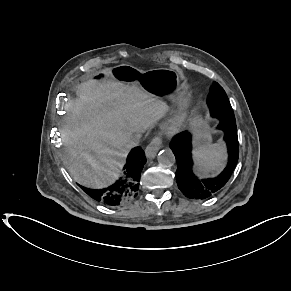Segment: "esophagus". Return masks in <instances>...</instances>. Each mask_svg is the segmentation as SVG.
Wrapping results in <instances>:
<instances>
[{
	"mask_svg": "<svg viewBox=\"0 0 291 291\" xmlns=\"http://www.w3.org/2000/svg\"><path fill=\"white\" fill-rule=\"evenodd\" d=\"M161 147V138L159 136H155L145 149L146 157L148 159H153Z\"/></svg>",
	"mask_w": 291,
	"mask_h": 291,
	"instance_id": "esophagus-1",
	"label": "esophagus"
}]
</instances>
